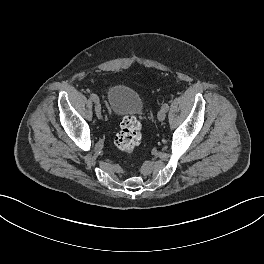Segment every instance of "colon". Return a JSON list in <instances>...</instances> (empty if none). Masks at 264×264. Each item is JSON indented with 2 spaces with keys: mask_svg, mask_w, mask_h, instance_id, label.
I'll return each instance as SVG.
<instances>
[{
  "mask_svg": "<svg viewBox=\"0 0 264 264\" xmlns=\"http://www.w3.org/2000/svg\"><path fill=\"white\" fill-rule=\"evenodd\" d=\"M141 141V124L134 116H126L119 122V131L115 137L116 146L127 153L140 144Z\"/></svg>",
  "mask_w": 264,
  "mask_h": 264,
  "instance_id": "obj_1",
  "label": "colon"
}]
</instances>
